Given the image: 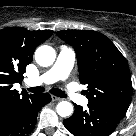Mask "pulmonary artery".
<instances>
[{
	"mask_svg": "<svg viewBox=\"0 0 136 136\" xmlns=\"http://www.w3.org/2000/svg\"><path fill=\"white\" fill-rule=\"evenodd\" d=\"M75 61V52L66 46L61 47L57 59L54 65L40 77L27 81L29 86H38L42 84H51L58 80H65ZM68 97L77 104L87 105L88 99L81 94L72 91L71 89H66Z\"/></svg>",
	"mask_w": 136,
	"mask_h": 136,
	"instance_id": "obj_1",
	"label": "pulmonary artery"
}]
</instances>
